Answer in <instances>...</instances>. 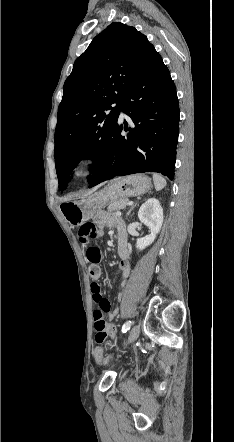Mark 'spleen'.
I'll return each mask as SVG.
<instances>
[{"label":"spleen","instance_id":"3e777b00","mask_svg":"<svg viewBox=\"0 0 234 442\" xmlns=\"http://www.w3.org/2000/svg\"><path fill=\"white\" fill-rule=\"evenodd\" d=\"M153 181L157 191L162 190L167 184L165 178L157 173L153 174Z\"/></svg>","mask_w":234,"mask_h":442}]
</instances>
